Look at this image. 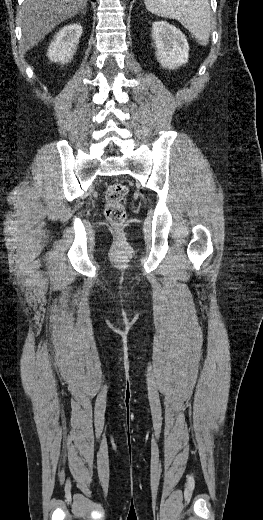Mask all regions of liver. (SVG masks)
Wrapping results in <instances>:
<instances>
[{
    "mask_svg": "<svg viewBox=\"0 0 263 520\" xmlns=\"http://www.w3.org/2000/svg\"><path fill=\"white\" fill-rule=\"evenodd\" d=\"M87 0H24L19 14L21 47L27 51L55 27L82 12Z\"/></svg>",
    "mask_w": 263,
    "mask_h": 520,
    "instance_id": "1",
    "label": "liver"
}]
</instances>
